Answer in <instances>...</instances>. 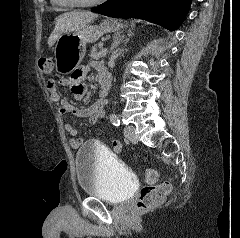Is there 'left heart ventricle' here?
Returning <instances> with one entry per match:
<instances>
[{"label":"left heart ventricle","instance_id":"left-heart-ventricle-1","mask_svg":"<svg viewBox=\"0 0 240 238\" xmlns=\"http://www.w3.org/2000/svg\"><path fill=\"white\" fill-rule=\"evenodd\" d=\"M69 1L78 2V3H88V2H92L94 0H69Z\"/></svg>","mask_w":240,"mask_h":238}]
</instances>
